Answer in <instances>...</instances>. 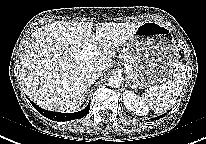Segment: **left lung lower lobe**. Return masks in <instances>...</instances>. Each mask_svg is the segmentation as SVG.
Wrapping results in <instances>:
<instances>
[{"label": "left lung lower lobe", "mask_w": 206, "mask_h": 144, "mask_svg": "<svg viewBox=\"0 0 206 144\" xmlns=\"http://www.w3.org/2000/svg\"><path fill=\"white\" fill-rule=\"evenodd\" d=\"M164 116H165V114H163V115H161V116H159V117L153 118V119H151V120H157V119L162 118V117H164Z\"/></svg>", "instance_id": "1"}]
</instances>
